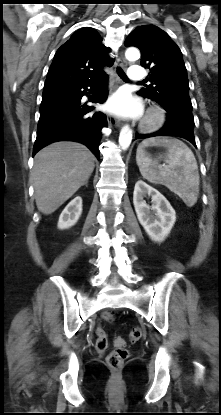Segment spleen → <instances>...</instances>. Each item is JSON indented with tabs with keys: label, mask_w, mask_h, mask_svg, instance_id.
Listing matches in <instances>:
<instances>
[{
	"label": "spleen",
	"mask_w": 221,
	"mask_h": 415,
	"mask_svg": "<svg viewBox=\"0 0 221 415\" xmlns=\"http://www.w3.org/2000/svg\"><path fill=\"white\" fill-rule=\"evenodd\" d=\"M149 146L167 149L164 155L166 166L161 167L146 156L145 148ZM136 161L144 179L166 186L189 207L197 202L200 183L197 161L182 141L168 137L146 139L137 148Z\"/></svg>",
	"instance_id": "obj_1"
}]
</instances>
